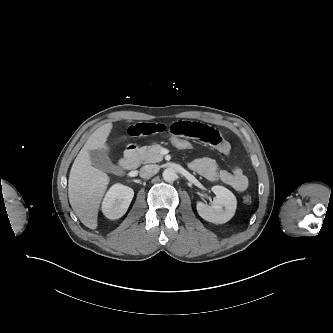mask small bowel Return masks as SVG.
<instances>
[{
	"label": "small bowel",
	"mask_w": 333,
	"mask_h": 333,
	"mask_svg": "<svg viewBox=\"0 0 333 333\" xmlns=\"http://www.w3.org/2000/svg\"><path fill=\"white\" fill-rule=\"evenodd\" d=\"M127 132L133 137H143L156 134H168L201 141L215 148L222 155H229L231 146L229 142L216 129L205 124L178 120L170 124L163 122H139L128 126ZM190 169L204 176L210 181H221L238 192L248 187V178L240 166L232 170L219 169L216 161L209 157L193 160Z\"/></svg>",
	"instance_id": "c3829d8e"
}]
</instances>
